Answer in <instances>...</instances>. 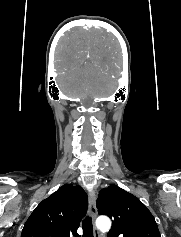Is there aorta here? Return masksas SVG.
<instances>
[{
    "label": "aorta",
    "mask_w": 181,
    "mask_h": 237,
    "mask_svg": "<svg viewBox=\"0 0 181 237\" xmlns=\"http://www.w3.org/2000/svg\"><path fill=\"white\" fill-rule=\"evenodd\" d=\"M96 226L102 232H107L111 228V221L106 216H100L96 220Z\"/></svg>",
    "instance_id": "aorta-1"
}]
</instances>
